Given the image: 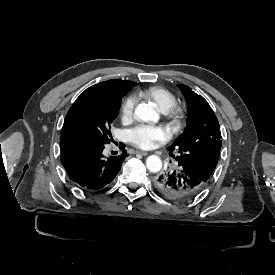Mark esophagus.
I'll list each match as a JSON object with an SVG mask.
<instances>
[{"instance_id": "esophagus-1", "label": "esophagus", "mask_w": 275, "mask_h": 275, "mask_svg": "<svg viewBox=\"0 0 275 275\" xmlns=\"http://www.w3.org/2000/svg\"><path fill=\"white\" fill-rule=\"evenodd\" d=\"M136 153H137V154H141V155H143V156L148 155V152L142 151V150H136Z\"/></svg>"}]
</instances>
